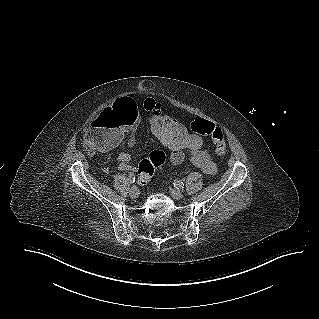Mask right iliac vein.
Instances as JSON below:
<instances>
[{"mask_svg": "<svg viewBox=\"0 0 319 319\" xmlns=\"http://www.w3.org/2000/svg\"><path fill=\"white\" fill-rule=\"evenodd\" d=\"M129 195L131 198H137L139 196V189L136 186H133L130 189Z\"/></svg>", "mask_w": 319, "mask_h": 319, "instance_id": "right-iliac-vein-1", "label": "right iliac vein"}]
</instances>
